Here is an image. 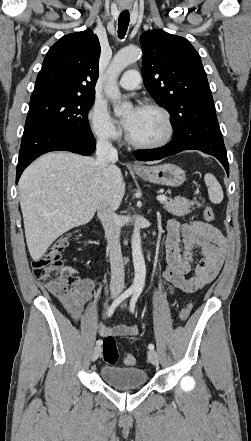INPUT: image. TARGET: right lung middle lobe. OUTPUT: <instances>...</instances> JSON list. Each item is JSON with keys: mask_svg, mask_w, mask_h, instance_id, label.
I'll use <instances>...</instances> for the list:
<instances>
[{"mask_svg": "<svg viewBox=\"0 0 251 441\" xmlns=\"http://www.w3.org/2000/svg\"><path fill=\"white\" fill-rule=\"evenodd\" d=\"M95 96H57L30 101L27 119H37L75 134H90L88 112Z\"/></svg>", "mask_w": 251, "mask_h": 441, "instance_id": "right-lung-middle-lobe-1", "label": "right lung middle lobe"}]
</instances>
